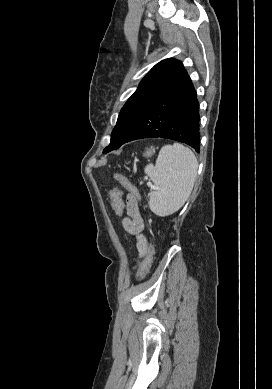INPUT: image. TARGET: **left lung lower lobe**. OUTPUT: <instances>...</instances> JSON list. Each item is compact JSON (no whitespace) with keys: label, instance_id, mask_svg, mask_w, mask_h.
Here are the masks:
<instances>
[{"label":"left lung lower lobe","instance_id":"obj_1","mask_svg":"<svg viewBox=\"0 0 272 389\" xmlns=\"http://www.w3.org/2000/svg\"><path fill=\"white\" fill-rule=\"evenodd\" d=\"M143 138L171 139L200 152L199 103L186 70L152 97L123 144Z\"/></svg>","mask_w":272,"mask_h":389}]
</instances>
